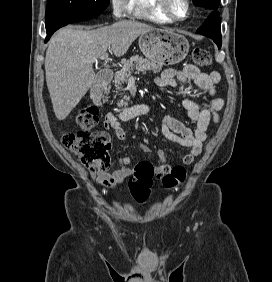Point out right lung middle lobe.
Returning a JSON list of instances; mask_svg holds the SVG:
<instances>
[{
    "label": "right lung middle lobe",
    "mask_w": 272,
    "mask_h": 282,
    "mask_svg": "<svg viewBox=\"0 0 272 282\" xmlns=\"http://www.w3.org/2000/svg\"><path fill=\"white\" fill-rule=\"evenodd\" d=\"M109 2L110 0H48L45 20L80 11L102 12Z\"/></svg>",
    "instance_id": "right-lung-middle-lobe-1"
}]
</instances>
